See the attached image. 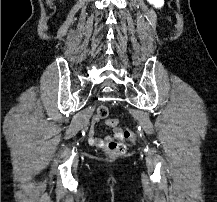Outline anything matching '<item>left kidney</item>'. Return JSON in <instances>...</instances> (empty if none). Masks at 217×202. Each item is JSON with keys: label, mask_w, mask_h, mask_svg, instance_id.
Here are the masks:
<instances>
[{"label": "left kidney", "mask_w": 217, "mask_h": 202, "mask_svg": "<svg viewBox=\"0 0 217 202\" xmlns=\"http://www.w3.org/2000/svg\"><path fill=\"white\" fill-rule=\"evenodd\" d=\"M147 2H149V4H153L155 8H161L164 4L163 0H147Z\"/></svg>", "instance_id": "5707ae66"}]
</instances>
